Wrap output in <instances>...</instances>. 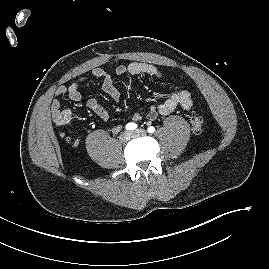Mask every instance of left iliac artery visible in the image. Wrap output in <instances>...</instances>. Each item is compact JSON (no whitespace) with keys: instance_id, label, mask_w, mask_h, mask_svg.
<instances>
[{"instance_id":"obj_1","label":"left iliac artery","mask_w":269,"mask_h":269,"mask_svg":"<svg viewBox=\"0 0 269 269\" xmlns=\"http://www.w3.org/2000/svg\"><path fill=\"white\" fill-rule=\"evenodd\" d=\"M148 132L151 133V134L154 133L155 128L153 126L148 127Z\"/></svg>"}]
</instances>
